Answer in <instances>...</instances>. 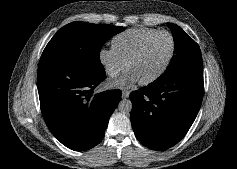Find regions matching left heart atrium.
<instances>
[{"label":"left heart atrium","instance_id":"left-heart-atrium-1","mask_svg":"<svg viewBox=\"0 0 237 169\" xmlns=\"http://www.w3.org/2000/svg\"><path fill=\"white\" fill-rule=\"evenodd\" d=\"M138 79L135 76V74L132 71H128L122 76L116 78L115 80L112 81V84L114 86H130L137 82Z\"/></svg>","mask_w":237,"mask_h":169}]
</instances>
